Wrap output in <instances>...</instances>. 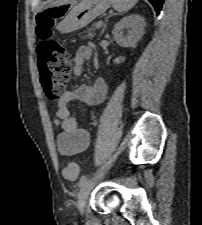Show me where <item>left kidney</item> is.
Wrapping results in <instances>:
<instances>
[{
    "instance_id": "5707ae66",
    "label": "left kidney",
    "mask_w": 202,
    "mask_h": 225,
    "mask_svg": "<svg viewBox=\"0 0 202 225\" xmlns=\"http://www.w3.org/2000/svg\"><path fill=\"white\" fill-rule=\"evenodd\" d=\"M145 25V20L140 15L132 14L124 17L116 23L113 29L116 43L122 47L135 48L144 35ZM124 30H127L126 35H124ZM124 60V57H118L114 60V63L120 64Z\"/></svg>"
}]
</instances>
